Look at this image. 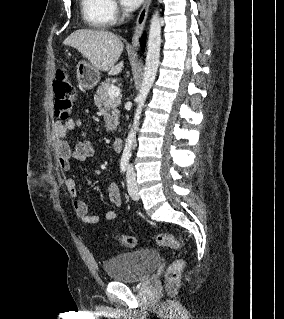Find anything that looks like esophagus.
<instances>
[{
  "label": "esophagus",
  "instance_id": "obj_1",
  "mask_svg": "<svg viewBox=\"0 0 284 319\" xmlns=\"http://www.w3.org/2000/svg\"><path fill=\"white\" fill-rule=\"evenodd\" d=\"M150 4H151V0H145L143 7L138 14V17L135 23V31L132 37V42L130 46L128 47L130 50L137 51L140 47L139 38L141 37L142 32L145 28Z\"/></svg>",
  "mask_w": 284,
  "mask_h": 319
}]
</instances>
